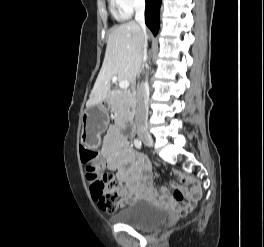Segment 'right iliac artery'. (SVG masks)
Returning <instances> with one entry per match:
<instances>
[{
  "label": "right iliac artery",
  "instance_id": "obj_1",
  "mask_svg": "<svg viewBox=\"0 0 264 247\" xmlns=\"http://www.w3.org/2000/svg\"><path fill=\"white\" fill-rule=\"evenodd\" d=\"M134 145L138 149H141V147H142V143H141V141L139 139H135L134 140Z\"/></svg>",
  "mask_w": 264,
  "mask_h": 247
}]
</instances>
